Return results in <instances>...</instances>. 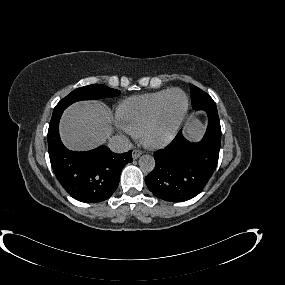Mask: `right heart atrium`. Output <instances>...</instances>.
Returning a JSON list of instances; mask_svg holds the SVG:
<instances>
[{
    "mask_svg": "<svg viewBox=\"0 0 285 285\" xmlns=\"http://www.w3.org/2000/svg\"><path fill=\"white\" fill-rule=\"evenodd\" d=\"M121 129H122V131H124L126 134L133 135V132H132L130 129H128L127 127L122 126Z\"/></svg>",
    "mask_w": 285,
    "mask_h": 285,
    "instance_id": "right-heart-atrium-1",
    "label": "right heart atrium"
}]
</instances>
